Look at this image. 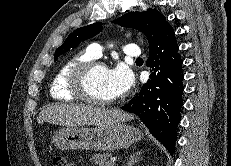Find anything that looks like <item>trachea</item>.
Masks as SVG:
<instances>
[{
  "mask_svg": "<svg viewBox=\"0 0 231 166\" xmlns=\"http://www.w3.org/2000/svg\"><path fill=\"white\" fill-rule=\"evenodd\" d=\"M136 61H143V59L142 58H137Z\"/></svg>",
  "mask_w": 231,
  "mask_h": 166,
  "instance_id": "3493384b",
  "label": "trachea"
}]
</instances>
